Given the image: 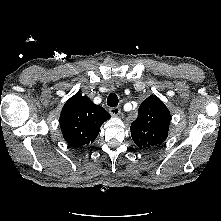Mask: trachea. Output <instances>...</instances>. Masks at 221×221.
<instances>
[{"label": "trachea", "mask_w": 221, "mask_h": 221, "mask_svg": "<svg viewBox=\"0 0 221 221\" xmlns=\"http://www.w3.org/2000/svg\"><path fill=\"white\" fill-rule=\"evenodd\" d=\"M118 96L115 93H110L107 98V104L110 107H116L118 105Z\"/></svg>", "instance_id": "obj_1"}]
</instances>
